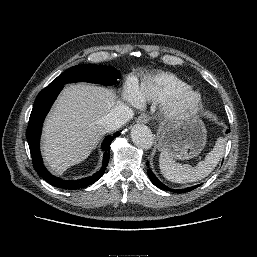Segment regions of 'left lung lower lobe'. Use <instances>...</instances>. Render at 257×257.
Returning a JSON list of instances; mask_svg holds the SVG:
<instances>
[{
    "instance_id": "1",
    "label": "left lung lower lobe",
    "mask_w": 257,
    "mask_h": 257,
    "mask_svg": "<svg viewBox=\"0 0 257 257\" xmlns=\"http://www.w3.org/2000/svg\"><path fill=\"white\" fill-rule=\"evenodd\" d=\"M227 133L230 132V130H227L226 131ZM147 165H149V162H147ZM147 173H148V176L151 180V182L157 186L158 188L160 189H163V190H168V191H172V192H176V193H185V192H189L195 188H197L199 185H196V186H193V187H189V188H185V189H177V190H174V189H171V188H168L166 185H164L162 182H160L156 176L153 174V172L151 171V169H147Z\"/></svg>"
}]
</instances>
